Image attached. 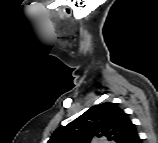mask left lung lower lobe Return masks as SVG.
I'll return each instance as SVG.
<instances>
[{"instance_id": "0a47b994", "label": "left lung lower lobe", "mask_w": 158, "mask_h": 143, "mask_svg": "<svg viewBox=\"0 0 158 143\" xmlns=\"http://www.w3.org/2000/svg\"><path fill=\"white\" fill-rule=\"evenodd\" d=\"M140 142V139L139 137L136 138V140L134 141V143H139Z\"/></svg>"}]
</instances>
